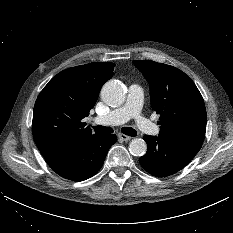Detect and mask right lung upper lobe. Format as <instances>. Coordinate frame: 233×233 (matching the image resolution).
I'll use <instances>...</instances> for the list:
<instances>
[{
	"label": "right lung upper lobe",
	"instance_id": "cb5924a9",
	"mask_svg": "<svg viewBox=\"0 0 233 233\" xmlns=\"http://www.w3.org/2000/svg\"><path fill=\"white\" fill-rule=\"evenodd\" d=\"M113 63H89L61 71L40 92L32 132L44 157L86 141L92 134L81 120L89 115L103 84L113 76Z\"/></svg>",
	"mask_w": 233,
	"mask_h": 233
}]
</instances>
